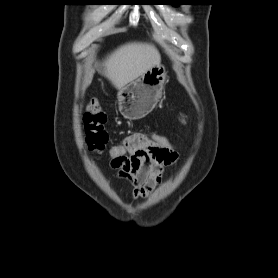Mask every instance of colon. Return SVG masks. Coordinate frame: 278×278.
Masks as SVG:
<instances>
[{"label":"colon","instance_id":"colon-1","mask_svg":"<svg viewBox=\"0 0 278 278\" xmlns=\"http://www.w3.org/2000/svg\"><path fill=\"white\" fill-rule=\"evenodd\" d=\"M83 122L86 131V139L89 149L93 152H102L108 142V134L104 129L106 114L99 107L95 100H91L83 114ZM163 150L178 154L177 146L167 137L153 133L150 135ZM125 154L123 145H116L110 148L109 155L111 159H117Z\"/></svg>","mask_w":278,"mask_h":278}]
</instances>
